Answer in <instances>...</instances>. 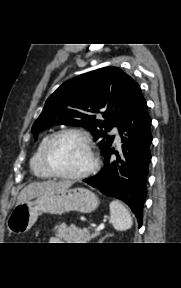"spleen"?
Returning <instances> with one entry per match:
<instances>
[{
  "label": "spleen",
  "mask_w": 181,
  "mask_h": 288,
  "mask_svg": "<svg viewBox=\"0 0 181 288\" xmlns=\"http://www.w3.org/2000/svg\"><path fill=\"white\" fill-rule=\"evenodd\" d=\"M110 207V222L117 231H125L132 227L133 220L129 211L119 201H112Z\"/></svg>",
  "instance_id": "3e777b00"
}]
</instances>
